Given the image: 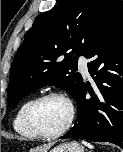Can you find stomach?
Masks as SVG:
<instances>
[{"instance_id": "0dacf381", "label": "stomach", "mask_w": 123, "mask_h": 152, "mask_svg": "<svg viewBox=\"0 0 123 152\" xmlns=\"http://www.w3.org/2000/svg\"><path fill=\"white\" fill-rule=\"evenodd\" d=\"M49 152H84V147L79 143L73 141L60 144L51 149Z\"/></svg>"}]
</instances>
